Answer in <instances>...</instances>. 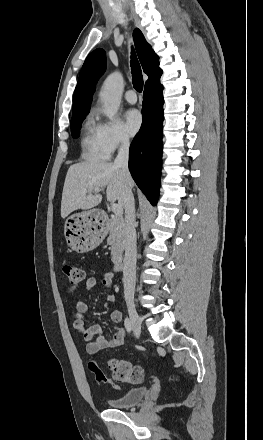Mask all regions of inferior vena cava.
I'll return each instance as SVG.
<instances>
[{"label":"inferior vena cava","instance_id":"1","mask_svg":"<svg viewBox=\"0 0 263 440\" xmlns=\"http://www.w3.org/2000/svg\"><path fill=\"white\" fill-rule=\"evenodd\" d=\"M129 160V138L122 137L118 155L114 160V166L119 168L123 180V192L121 204L125 209V256L123 267L124 295L126 300L134 297L136 283V231H135V203L130 186L131 175L128 169Z\"/></svg>","mask_w":263,"mask_h":440}]
</instances>
